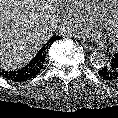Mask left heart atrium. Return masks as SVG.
I'll return each mask as SVG.
<instances>
[{"instance_id":"obj_1","label":"left heart atrium","mask_w":118,"mask_h":118,"mask_svg":"<svg viewBox=\"0 0 118 118\" xmlns=\"http://www.w3.org/2000/svg\"><path fill=\"white\" fill-rule=\"evenodd\" d=\"M81 34H82V35H87L88 32H84V31H83V32H81Z\"/></svg>"}]
</instances>
